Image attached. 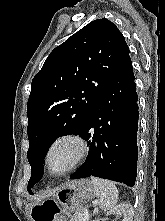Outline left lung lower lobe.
<instances>
[{
	"instance_id": "left-lung-lower-lobe-1",
	"label": "left lung lower lobe",
	"mask_w": 165,
	"mask_h": 221,
	"mask_svg": "<svg viewBox=\"0 0 165 221\" xmlns=\"http://www.w3.org/2000/svg\"><path fill=\"white\" fill-rule=\"evenodd\" d=\"M131 59L103 91L79 133L89 155L71 179L95 176L134 186L137 175L138 104Z\"/></svg>"
}]
</instances>
